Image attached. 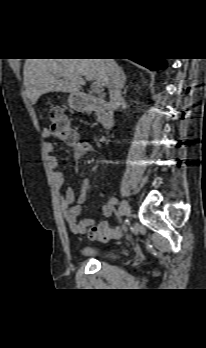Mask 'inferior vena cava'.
<instances>
[{
    "label": "inferior vena cava",
    "mask_w": 206,
    "mask_h": 348,
    "mask_svg": "<svg viewBox=\"0 0 206 348\" xmlns=\"http://www.w3.org/2000/svg\"><path fill=\"white\" fill-rule=\"evenodd\" d=\"M107 61V71H108V87L110 94V102L114 109H118L123 98L121 94L122 84H121V69L116 64L114 59H106Z\"/></svg>",
    "instance_id": "1"
}]
</instances>
